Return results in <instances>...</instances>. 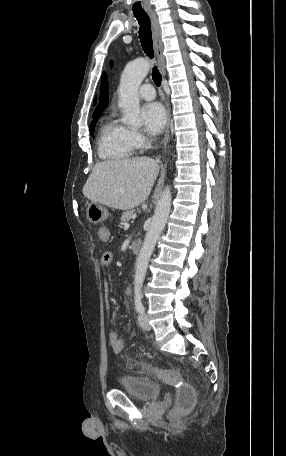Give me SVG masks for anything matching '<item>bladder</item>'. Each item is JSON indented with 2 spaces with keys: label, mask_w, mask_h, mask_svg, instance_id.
<instances>
[{
  "label": "bladder",
  "mask_w": 286,
  "mask_h": 456,
  "mask_svg": "<svg viewBox=\"0 0 286 456\" xmlns=\"http://www.w3.org/2000/svg\"><path fill=\"white\" fill-rule=\"evenodd\" d=\"M120 388L128 395L143 402L156 400L161 395V387L155 381L138 375L122 376Z\"/></svg>",
  "instance_id": "obj_1"
}]
</instances>
